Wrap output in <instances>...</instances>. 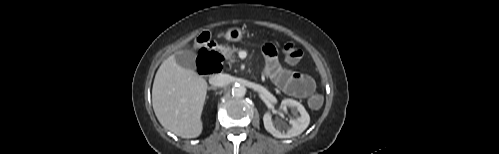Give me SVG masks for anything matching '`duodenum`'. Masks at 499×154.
<instances>
[{
    "label": "duodenum",
    "instance_id": "obj_1",
    "mask_svg": "<svg viewBox=\"0 0 499 154\" xmlns=\"http://www.w3.org/2000/svg\"><path fill=\"white\" fill-rule=\"evenodd\" d=\"M210 60L209 57L201 56L197 60V69L201 74H215L218 73L214 69L210 68L207 65V62Z\"/></svg>",
    "mask_w": 499,
    "mask_h": 154
}]
</instances>
